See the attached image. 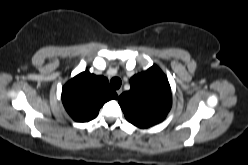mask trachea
Listing matches in <instances>:
<instances>
[{"mask_svg":"<svg viewBox=\"0 0 248 165\" xmlns=\"http://www.w3.org/2000/svg\"><path fill=\"white\" fill-rule=\"evenodd\" d=\"M110 84H111V87L113 89H119L121 84H122V82H121L120 78L114 77V78L111 79Z\"/></svg>","mask_w":248,"mask_h":165,"instance_id":"trachea-1","label":"trachea"}]
</instances>
